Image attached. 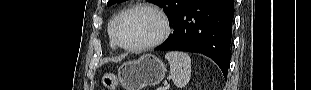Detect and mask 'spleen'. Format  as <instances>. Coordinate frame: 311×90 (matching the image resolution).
Listing matches in <instances>:
<instances>
[{
    "label": "spleen",
    "instance_id": "obj_1",
    "mask_svg": "<svg viewBox=\"0 0 311 90\" xmlns=\"http://www.w3.org/2000/svg\"><path fill=\"white\" fill-rule=\"evenodd\" d=\"M170 64L173 83L177 88L185 87L191 77V58L187 53L172 51L165 55Z\"/></svg>",
    "mask_w": 311,
    "mask_h": 90
}]
</instances>
